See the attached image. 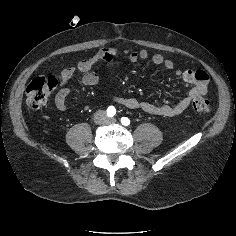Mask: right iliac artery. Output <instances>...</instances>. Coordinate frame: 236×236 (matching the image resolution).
Instances as JSON below:
<instances>
[{
	"label": "right iliac artery",
	"mask_w": 236,
	"mask_h": 236,
	"mask_svg": "<svg viewBox=\"0 0 236 236\" xmlns=\"http://www.w3.org/2000/svg\"><path fill=\"white\" fill-rule=\"evenodd\" d=\"M116 114V109L113 106H109L107 109V116L113 117Z\"/></svg>",
	"instance_id": "right-iliac-artery-1"
}]
</instances>
